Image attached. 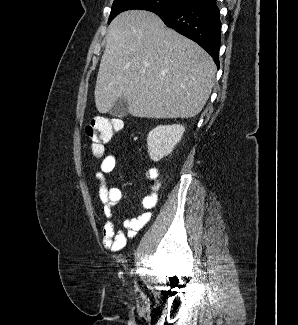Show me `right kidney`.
<instances>
[{
  "mask_svg": "<svg viewBox=\"0 0 298 325\" xmlns=\"http://www.w3.org/2000/svg\"><path fill=\"white\" fill-rule=\"evenodd\" d=\"M185 132L182 124H158L149 130L147 136L148 152L151 160H161L171 154L174 146L181 140Z\"/></svg>",
  "mask_w": 298,
  "mask_h": 325,
  "instance_id": "ca27d5eb",
  "label": "right kidney"
}]
</instances>
